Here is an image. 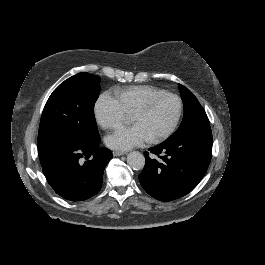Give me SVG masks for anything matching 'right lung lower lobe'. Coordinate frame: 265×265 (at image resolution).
Here are the masks:
<instances>
[{
    "label": "right lung lower lobe",
    "instance_id": "98d812e1",
    "mask_svg": "<svg viewBox=\"0 0 265 265\" xmlns=\"http://www.w3.org/2000/svg\"><path fill=\"white\" fill-rule=\"evenodd\" d=\"M99 143L51 142L38 150L47 182L59 196L83 201L101 189L104 169L113 155ZM90 156L91 160L81 163V158Z\"/></svg>",
    "mask_w": 265,
    "mask_h": 265
}]
</instances>
